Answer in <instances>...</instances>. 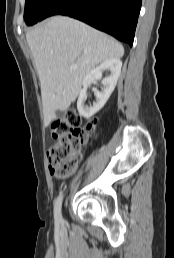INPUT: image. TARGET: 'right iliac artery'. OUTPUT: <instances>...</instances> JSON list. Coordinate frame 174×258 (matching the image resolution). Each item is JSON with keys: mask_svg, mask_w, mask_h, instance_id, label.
<instances>
[{"mask_svg": "<svg viewBox=\"0 0 174 258\" xmlns=\"http://www.w3.org/2000/svg\"><path fill=\"white\" fill-rule=\"evenodd\" d=\"M62 199H63V195H60L56 199L55 204H54V218L57 223L63 222L62 215H61Z\"/></svg>", "mask_w": 174, "mask_h": 258, "instance_id": "obj_1", "label": "right iliac artery"}]
</instances>
